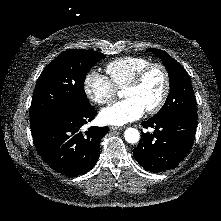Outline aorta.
I'll return each mask as SVG.
<instances>
[{
    "label": "aorta",
    "instance_id": "aorta-1",
    "mask_svg": "<svg viewBox=\"0 0 221 221\" xmlns=\"http://www.w3.org/2000/svg\"><path fill=\"white\" fill-rule=\"evenodd\" d=\"M125 140L130 144H135L140 140V133L137 129L129 127L124 132Z\"/></svg>",
    "mask_w": 221,
    "mask_h": 221
}]
</instances>
